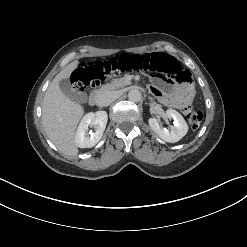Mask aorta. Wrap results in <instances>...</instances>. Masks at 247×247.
Wrapping results in <instances>:
<instances>
[{"mask_svg":"<svg viewBox=\"0 0 247 247\" xmlns=\"http://www.w3.org/2000/svg\"><path fill=\"white\" fill-rule=\"evenodd\" d=\"M142 94L138 89H131L128 93V98L132 102H139L141 100Z\"/></svg>","mask_w":247,"mask_h":247,"instance_id":"aorta-1","label":"aorta"}]
</instances>
